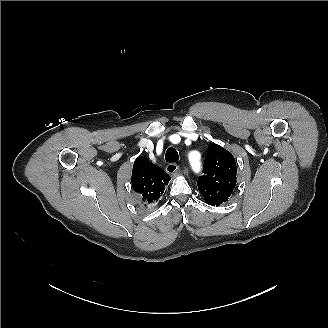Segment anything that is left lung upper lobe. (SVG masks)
Masks as SVG:
<instances>
[{
  "label": "left lung upper lobe",
  "instance_id": "obj_1",
  "mask_svg": "<svg viewBox=\"0 0 328 328\" xmlns=\"http://www.w3.org/2000/svg\"><path fill=\"white\" fill-rule=\"evenodd\" d=\"M204 175L198 179V189L208 204L226 202L236 186L237 167L233 155L211 143L204 162Z\"/></svg>",
  "mask_w": 328,
  "mask_h": 328
}]
</instances>
